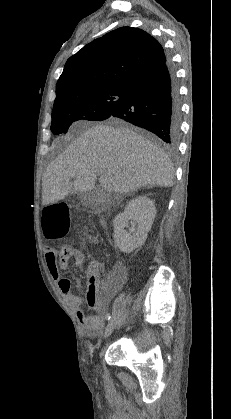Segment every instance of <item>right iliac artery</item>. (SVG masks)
<instances>
[{
	"mask_svg": "<svg viewBox=\"0 0 231 419\" xmlns=\"http://www.w3.org/2000/svg\"><path fill=\"white\" fill-rule=\"evenodd\" d=\"M110 318H111V315H110V314H107V315H106V319H107V320H110Z\"/></svg>",
	"mask_w": 231,
	"mask_h": 419,
	"instance_id": "obj_1",
	"label": "right iliac artery"
}]
</instances>
